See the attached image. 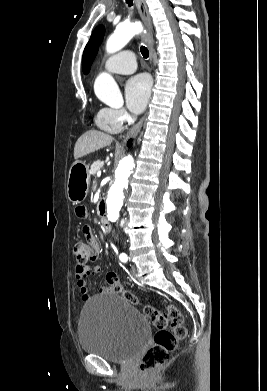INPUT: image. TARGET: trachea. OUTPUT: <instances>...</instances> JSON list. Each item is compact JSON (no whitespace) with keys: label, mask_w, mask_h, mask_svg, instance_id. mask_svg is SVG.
I'll return each instance as SVG.
<instances>
[{"label":"trachea","mask_w":267,"mask_h":391,"mask_svg":"<svg viewBox=\"0 0 267 391\" xmlns=\"http://www.w3.org/2000/svg\"><path fill=\"white\" fill-rule=\"evenodd\" d=\"M126 3H127L129 6H132V5H133L132 0H126ZM140 52H141V54H142V56H143L144 58H148V56H149V51H148V49H147L145 46H141V47H140Z\"/></svg>","instance_id":"obj_1"}]
</instances>
